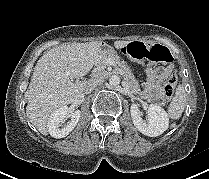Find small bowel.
I'll list each match as a JSON object with an SVG mask.
<instances>
[{"label": "small bowel", "instance_id": "obj_1", "mask_svg": "<svg viewBox=\"0 0 209 179\" xmlns=\"http://www.w3.org/2000/svg\"><path fill=\"white\" fill-rule=\"evenodd\" d=\"M171 71L172 66L147 68V79L142 92V97L155 104L164 103L165 95L162 86L166 79L170 76Z\"/></svg>", "mask_w": 209, "mask_h": 179}]
</instances>
